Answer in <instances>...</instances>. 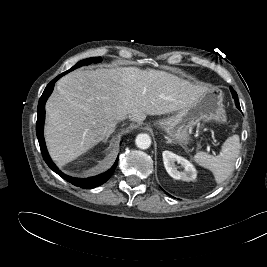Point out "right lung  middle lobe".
Listing matches in <instances>:
<instances>
[{
	"mask_svg": "<svg viewBox=\"0 0 267 267\" xmlns=\"http://www.w3.org/2000/svg\"><path fill=\"white\" fill-rule=\"evenodd\" d=\"M101 60H102L101 57H93V58L82 60V61L78 62L75 66H73L71 69L66 71L65 73H68V72H70V71H72L78 67H81L83 65H88L92 62H94V63L100 62Z\"/></svg>",
	"mask_w": 267,
	"mask_h": 267,
	"instance_id": "dd1d6c3e",
	"label": "right lung middle lobe"
}]
</instances>
